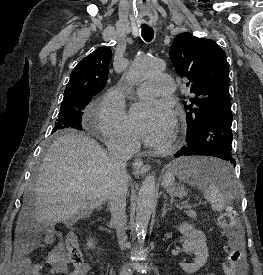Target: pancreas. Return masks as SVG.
Returning <instances> with one entry per match:
<instances>
[{"label": "pancreas", "mask_w": 263, "mask_h": 275, "mask_svg": "<svg viewBox=\"0 0 263 275\" xmlns=\"http://www.w3.org/2000/svg\"><path fill=\"white\" fill-rule=\"evenodd\" d=\"M187 215H188L189 217L193 218V219H196V217H197L196 212L193 211V210L187 211Z\"/></svg>", "instance_id": "obj_1"}]
</instances>
